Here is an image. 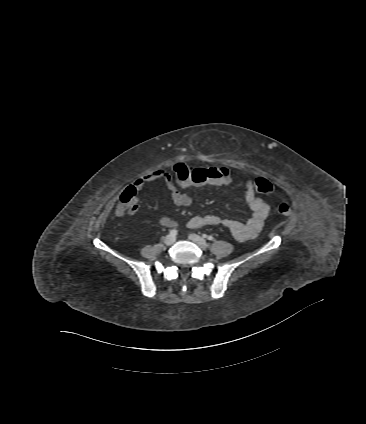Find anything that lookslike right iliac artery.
<instances>
[{
    "label": "right iliac artery",
    "mask_w": 366,
    "mask_h": 424,
    "mask_svg": "<svg viewBox=\"0 0 366 424\" xmlns=\"http://www.w3.org/2000/svg\"><path fill=\"white\" fill-rule=\"evenodd\" d=\"M170 235L172 236H176L177 235V230L173 229L170 231Z\"/></svg>",
    "instance_id": "right-iliac-artery-1"
}]
</instances>
